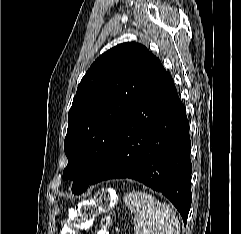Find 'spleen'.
I'll list each match as a JSON object with an SVG mask.
<instances>
[{
  "label": "spleen",
  "instance_id": "1",
  "mask_svg": "<svg viewBox=\"0 0 241 234\" xmlns=\"http://www.w3.org/2000/svg\"><path fill=\"white\" fill-rule=\"evenodd\" d=\"M135 213V234H180V223L168 204L145 192H130L123 198Z\"/></svg>",
  "mask_w": 241,
  "mask_h": 234
}]
</instances>
